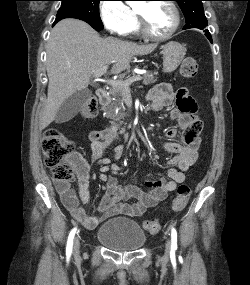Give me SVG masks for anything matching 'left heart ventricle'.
Here are the masks:
<instances>
[{"mask_svg": "<svg viewBox=\"0 0 250 285\" xmlns=\"http://www.w3.org/2000/svg\"><path fill=\"white\" fill-rule=\"evenodd\" d=\"M143 13L148 29L155 35L167 34L174 24V13L165 3H139L136 7Z\"/></svg>", "mask_w": 250, "mask_h": 285, "instance_id": "obj_1", "label": "left heart ventricle"}]
</instances>
